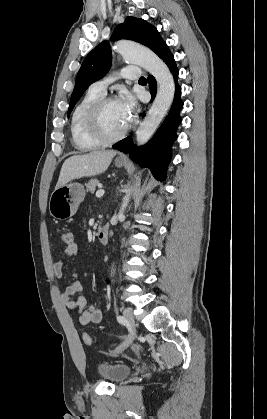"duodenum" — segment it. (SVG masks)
<instances>
[{
	"label": "duodenum",
	"instance_id": "obj_1",
	"mask_svg": "<svg viewBox=\"0 0 267 419\" xmlns=\"http://www.w3.org/2000/svg\"><path fill=\"white\" fill-rule=\"evenodd\" d=\"M108 239H109V227L107 225H104L97 232V240L101 244H107Z\"/></svg>",
	"mask_w": 267,
	"mask_h": 419
}]
</instances>
